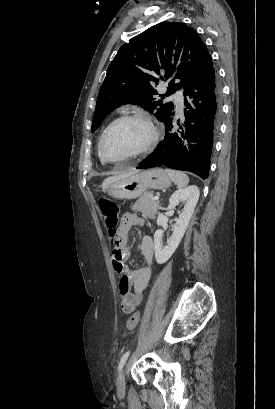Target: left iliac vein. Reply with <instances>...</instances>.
<instances>
[{
  "instance_id": "4c4485c4",
  "label": "left iliac vein",
  "mask_w": 275,
  "mask_h": 409,
  "mask_svg": "<svg viewBox=\"0 0 275 409\" xmlns=\"http://www.w3.org/2000/svg\"><path fill=\"white\" fill-rule=\"evenodd\" d=\"M117 390L123 392L125 390V373L121 372L117 379Z\"/></svg>"
}]
</instances>
